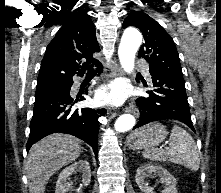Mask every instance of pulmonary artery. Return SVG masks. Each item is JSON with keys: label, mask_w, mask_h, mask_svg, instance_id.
Wrapping results in <instances>:
<instances>
[{"label": "pulmonary artery", "mask_w": 221, "mask_h": 193, "mask_svg": "<svg viewBox=\"0 0 221 193\" xmlns=\"http://www.w3.org/2000/svg\"><path fill=\"white\" fill-rule=\"evenodd\" d=\"M140 68L142 69L143 73L147 76L150 77V73H149V66L145 63H141L140 64Z\"/></svg>", "instance_id": "1"}]
</instances>
